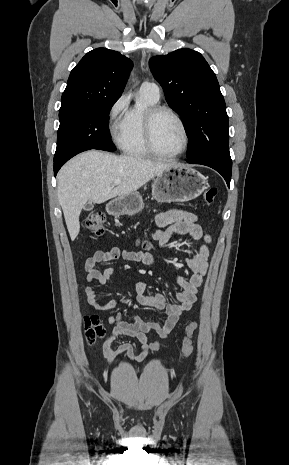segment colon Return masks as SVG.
Instances as JSON below:
<instances>
[{
	"instance_id": "obj_1",
	"label": "colon",
	"mask_w": 289,
	"mask_h": 465,
	"mask_svg": "<svg viewBox=\"0 0 289 465\" xmlns=\"http://www.w3.org/2000/svg\"><path fill=\"white\" fill-rule=\"evenodd\" d=\"M217 196V189L215 187L208 188L204 195L206 204H212ZM105 217L102 213H94L85 222V228L95 235H101L104 231ZM144 248L149 249L151 244L149 242L143 243ZM85 326V339L88 344H93L97 339L101 338L105 329L95 315H87L84 317ZM198 324L196 322L189 323L185 328L184 340L182 343L181 353L183 357H188L193 351L192 337L197 330Z\"/></svg>"
}]
</instances>
